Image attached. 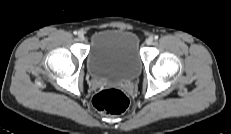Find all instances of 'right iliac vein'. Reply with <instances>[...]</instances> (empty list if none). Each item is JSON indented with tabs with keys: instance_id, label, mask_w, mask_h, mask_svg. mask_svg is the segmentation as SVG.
Wrapping results in <instances>:
<instances>
[{
	"instance_id": "63e3f726",
	"label": "right iliac vein",
	"mask_w": 231,
	"mask_h": 134,
	"mask_svg": "<svg viewBox=\"0 0 231 134\" xmlns=\"http://www.w3.org/2000/svg\"><path fill=\"white\" fill-rule=\"evenodd\" d=\"M78 40L79 41H84L85 40V36L83 33H78Z\"/></svg>"
}]
</instances>
